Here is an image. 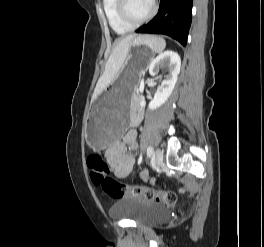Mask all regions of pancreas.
Here are the masks:
<instances>
[{
	"mask_svg": "<svg viewBox=\"0 0 264 247\" xmlns=\"http://www.w3.org/2000/svg\"><path fill=\"white\" fill-rule=\"evenodd\" d=\"M138 98H139V96L137 95V96H136V99L138 100ZM137 100H136V102H137Z\"/></svg>",
	"mask_w": 264,
	"mask_h": 247,
	"instance_id": "1",
	"label": "pancreas"
}]
</instances>
